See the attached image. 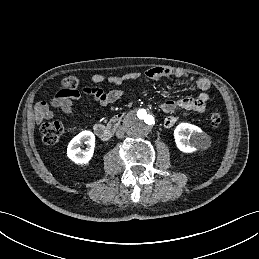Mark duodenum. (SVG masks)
Here are the masks:
<instances>
[{
	"label": "duodenum",
	"instance_id": "duodenum-1",
	"mask_svg": "<svg viewBox=\"0 0 259 259\" xmlns=\"http://www.w3.org/2000/svg\"><path fill=\"white\" fill-rule=\"evenodd\" d=\"M124 116L125 114L117 115L113 117L108 124H96L94 127L96 135L104 141L110 140L114 133L120 128Z\"/></svg>",
	"mask_w": 259,
	"mask_h": 259
}]
</instances>
